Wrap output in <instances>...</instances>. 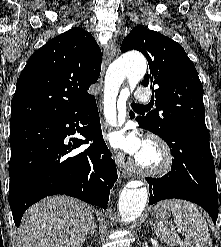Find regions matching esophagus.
Masks as SVG:
<instances>
[{
	"label": "esophagus",
	"mask_w": 221,
	"mask_h": 247,
	"mask_svg": "<svg viewBox=\"0 0 221 247\" xmlns=\"http://www.w3.org/2000/svg\"><path fill=\"white\" fill-rule=\"evenodd\" d=\"M116 54V46L114 42H111L105 46L104 50V56H103V62H102V68H101V77L103 76L105 69L107 65L110 63V61L113 59V57ZM119 104L121 106L120 108V114L122 116V119L125 120V101H119ZM105 129L108 128L106 124H104ZM121 155H118L116 157L117 159V168H118V173L121 175L123 178H130L132 176V173L125 169L120 163H119V158L121 159Z\"/></svg>",
	"instance_id": "obj_1"
}]
</instances>
